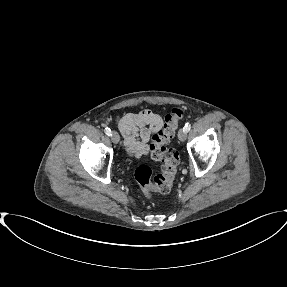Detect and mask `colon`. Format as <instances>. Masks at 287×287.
Listing matches in <instances>:
<instances>
[{
	"label": "colon",
	"instance_id": "colon-1",
	"mask_svg": "<svg viewBox=\"0 0 287 287\" xmlns=\"http://www.w3.org/2000/svg\"><path fill=\"white\" fill-rule=\"evenodd\" d=\"M184 109L175 107L166 115L162 127L152 136L150 146L152 158L162 163L161 173L152 176V170L147 165L139 166L135 171V179L146 197L152 193H168L173 186L179 163L178 152L167 145L173 138L179 122L184 117Z\"/></svg>",
	"mask_w": 287,
	"mask_h": 287
}]
</instances>
